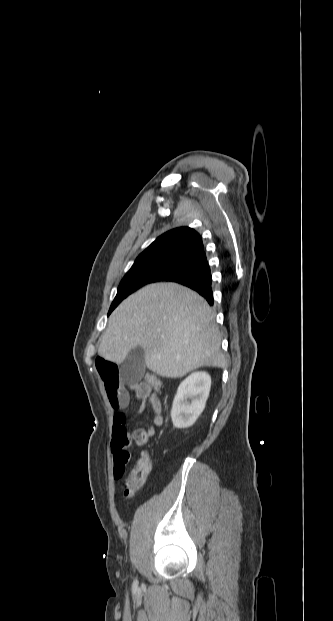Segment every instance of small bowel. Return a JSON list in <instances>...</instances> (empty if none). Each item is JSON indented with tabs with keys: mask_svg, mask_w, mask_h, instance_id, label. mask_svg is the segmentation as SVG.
Returning a JSON list of instances; mask_svg holds the SVG:
<instances>
[{
	"mask_svg": "<svg viewBox=\"0 0 333 621\" xmlns=\"http://www.w3.org/2000/svg\"><path fill=\"white\" fill-rule=\"evenodd\" d=\"M96 369L103 382L107 399L111 407L116 410L113 416L111 453L115 470L125 471L130 460L131 448L134 444L143 445L155 434L157 428L163 424L162 406L158 392L154 391L146 380L132 386L137 396L141 399L137 412L142 413L149 404L153 410L152 422L149 428H138L129 433L126 425V417L121 411L128 407L130 396L128 390L122 385L119 376L118 365L104 356H98L95 360Z\"/></svg>",
	"mask_w": 333,
	"mask_h": 621,
	"instance_id": "1",
	"label": "small bowel"
}]
</instances>
